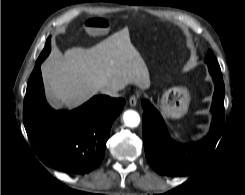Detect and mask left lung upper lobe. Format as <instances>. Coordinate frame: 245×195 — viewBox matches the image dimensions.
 <instances>
[{
    "mask_svg": "<svg viewBox=\"0 0 245 195\" xmlns=\"http://www.w3.org/2000/svg\"><path fill=\"white\" fill-rule=\"evenodd\" d=\"M205 62L211 75L222 76L218 61L211 50L208 51Z\"/></svg>",
    "mask_w": 245,
    "mask_h": 195,
    "instance_id": "left-lung-upper-lobe-1",
    "label": "left lung upper lobe"
}]
</instances>
